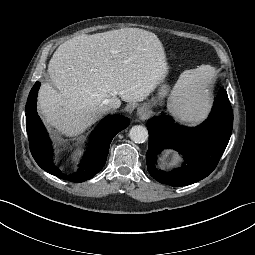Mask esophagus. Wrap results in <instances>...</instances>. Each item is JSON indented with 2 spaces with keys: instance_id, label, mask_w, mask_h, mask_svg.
<instances>
[{
  "instance_id": "obj_1",
  "label": "esophagus",
  "mask_w": 255,
  "mask_h": 255,
  "mask_svg": "<svg viewBox=\"0 0 255 255\" xmlns=\"http://www.w3.org/2000/svg\"><path fill=\"white\" fill-rule=\"evenodd\" d=\"M148 112V109L144 106H140L138 107L137 109V114L141 117V118H144L146 116Z\"/></svg>"
}]
</instances>
